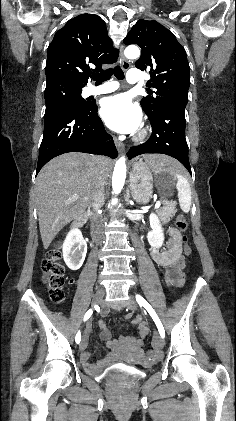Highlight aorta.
<instances>
[{
    "label": "aorta",
    "mask_w": 236,
    "mask_h": 421,
    "mask_svg": "<svg viewBox=\"0 0 236 421\" xmlns=\"http://www.w3.org/2000/svg\"><path fill=\"white\" fill-rule=\"evenodd\" d=\"M124 54L125 56H127V58H138V56H140V50L138 46H135V44H130V46H126L124 50ZM125 160H126L125 156H120V158H118L115 164V168H114V172L112 176V188H113L114 194H119V192H121L123 188V184L125 182V178H126ZM117 202H118V198H112L111 204H117Z\"/></svg>",
    "instance_id": "1"
}]
</instances>
